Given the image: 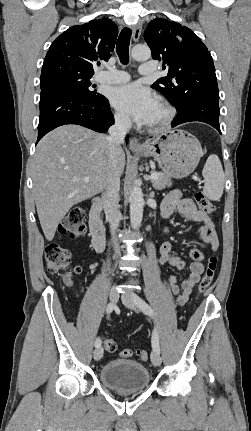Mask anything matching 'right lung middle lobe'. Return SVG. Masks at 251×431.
Instances as JSON below:
<instances>
[{
  "label": "right lung middle lobe",
  "mask_w": 251,
  "mask_h": 431,
  "mask_svg": "<svg viewBox=\"0 0 251 431\" xmlns=\"http://www.w3.org/2000/svg\"><path fill=\"white\" fill-rule=\"evenodd\" d=\"M94 73L84 71L67 62H55L42 68L40 77L41 90L52 87H64L84 96H102L93 90L90 78Z\"/></svg>",
  "instance_id": "1"
}]
</instances>
